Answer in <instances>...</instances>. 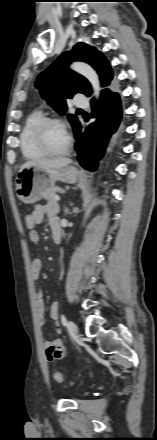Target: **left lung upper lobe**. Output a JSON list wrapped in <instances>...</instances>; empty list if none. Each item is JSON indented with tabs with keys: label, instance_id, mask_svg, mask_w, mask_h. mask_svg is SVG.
<instances>
[{
	"label": "left lung upper lobe",
	"instance_id": "5c2ea615",
	"mask_svg": "<svg viewBox=\"0 0 157 440\" xmlns=\"http://www.w3.org/2000/svg\"><path fill=\"white\" fill-rule=\"evenodd\" d=\"M72 61H84L90 64L99 74L102 86H108L113 78V71L104 57L95 47L85 43H77L69 52H64L36 81L42 97L46 99L57 112L64 114L67 110L66 98H72L76 93L90 96L92 93L89 82L83 76L67 69ZM104 89L102 93L107 91ZM73 130L80 124L78 118L67 115Z\"/></svg>",
	"mask_w": 157,
	"mask_h": 440
}]
</instances>
